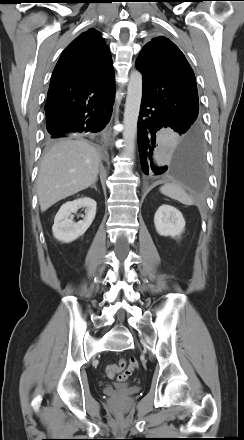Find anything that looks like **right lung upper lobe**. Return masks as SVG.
<instances>
[{"instance_id":"obj_1","label":"right lung upper lobe","mask_w":244,"mask_h":440,"mask_svg":"<svg viewBox=\"0 0 244 440\" xmlns=\"http://www.w3.org/2000/svg\"><path fill=\"white\" fill-rule=\"evenodd\" d=\"M114 95L110 51L100 33L90 29L67 46L53 71L46 118L99 110Z\"/></svg>"}]
</instances>
